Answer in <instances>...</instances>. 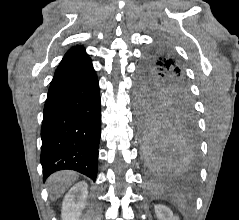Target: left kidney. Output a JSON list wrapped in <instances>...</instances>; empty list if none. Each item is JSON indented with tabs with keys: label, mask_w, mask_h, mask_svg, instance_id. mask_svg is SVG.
<instances>
[{
	"label": "left kidney",
	"mask_w": 239,
	"mask_h": 220,
	"mask_svg": "<svg viewBox=\"0 0 239 220\" xmlns=\"http://www.w3.org/2000/svg\"><path fill=\"white\" fill-rule=\"evenodd\" d=\"M154 209L158 220H179L178 217L174 216L173 212L164 205H155Z\"/></svg>",
	"instance_id": "5707ae66"
}]
</instances>
